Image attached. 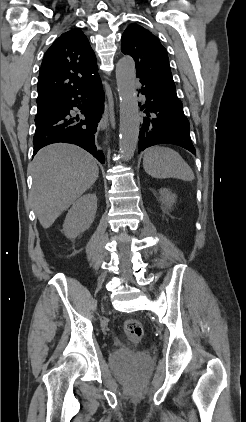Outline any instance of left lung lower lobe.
Masks as SVG:
<instances>
[{"instance_id": "left-lung-lower-lobe-1", "label": "left lung lower lobe", "mask_w": 246, "mask_h": 422, "mask_svg": "<svg viewBox=\"0 0 246 422\" xmlns=\"http://www.w3.org/2000/svg\"><path fill=\"white\" fill-rule=\"evenodd\" d=\"M140 82L143 86L139 92L145 95L146 101L141 107L145 116L141 120L139 152L153 145L169 143L195 154L189 121L184 115L181 101L146 79L140 78Z\"/></svg>"}]
</instances>
